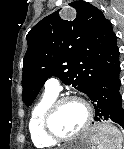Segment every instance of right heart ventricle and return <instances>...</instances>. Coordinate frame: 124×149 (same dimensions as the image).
<instances>
[{
    "mask_svg": "<svg viewBox=\"0 0 124 149\" xmlns=\"http://www.w3.org/2000/svg\"><path fill=\"white\" fill-rule=\"evenodd\" d=\"M57 96L58 94L46 91L31 110L28 129L32 142L36 147L50 148L57 143L45 134L43 128L44 115Z\"/></svg>",
    "mask_w": 124,
    "mask_h": 149,
    "instance_id": "right-heart-ventricle-1",
    "label": "right heart ventricle"
}]
</instances>
